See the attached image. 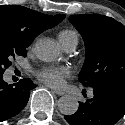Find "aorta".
Instances as JSON below:
<instances>
[{
  "instance_id": "obj_1",
  "label": "aorta",
  "mask_w": 125,
  "mask_h": 125,
  "mask_svg": "<svg viewBox=\"0 0 125 125\" xmlns=\"http://www.w3.org/2000/svg\"><path fill=\"white\" fill-rule=\"evenodd\" d=\"M38 59L44 62H51L59 57V50L51 39H40L34 47ZM79 103L76 97L64 95L58 100L59 111L64 115H72L78 110Z\"/></svg>"
}]
</instances>
